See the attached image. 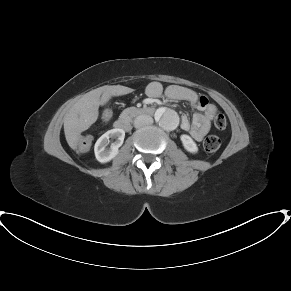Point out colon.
<instances>
[{
    "label": "colon",
    "instance_id": "colon-1",
    "mask_svg": "<svg viewBox=\"0 0 291 291\" xmlns=\"http://www.w3.org/2000/svg\"><path fill=\"white\" fill-rule=\"evenodd\" d=\"M112 117V111L110 107H104L100 112V118L103 122H108ZM227 121L223 114L219 113L214 118V125L217 129H224L226 127ZM221 141L215 135H209L204 140V148L208 152H215L220 148ZM79 152L86 153L88 151V144L86 141L80 143Z\"/></svg>",
    "mask_w": 291,
    "mask_h": 291
}]
</instances>
